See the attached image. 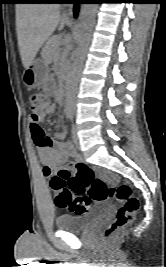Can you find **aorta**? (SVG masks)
<instances>
[{"label":"aorta","mask_w":166,"mask_h":267,"mask_svg":"<svg viewBox=\"0 0 166 267\" xmlns=\"http://www.w3.org/2000/svg\"><path fill=\"white\" fill-rule=\"evenodd\" d=\"M97 3H83L78 27V48L72 64V69L67 80L66 107L73 110L75 106L76 92L79 76L83 68L85 50L91 40L92 31L95 25Z\"/></svg>","instance_id":"762f6f07"}]
</instances>
